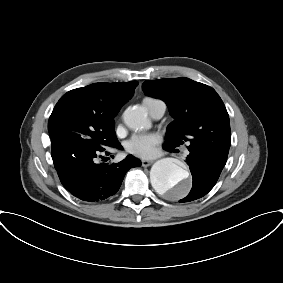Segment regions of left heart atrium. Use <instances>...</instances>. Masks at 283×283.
Returning <instances> with one entry per match:
<instances>
[{"mask_svg":"<svg viewBox=\"0 0 283 283\" xmlns=\"http://www.w3.org/2000/svg\"><path fill=\"white\" fill-rule=\"evenodd\" d=\"M160 141L158 134H142L133 136L125 146L129 153L143 159H150L157 154V145Z\"/></svg>","mask_w":283,"mask_h":283,"instance_id":"left-heart-atrium-1","label":"left heart atrium"}]
</instances>
